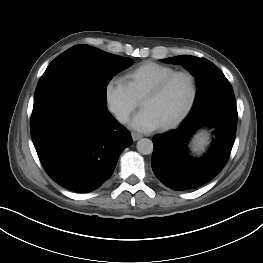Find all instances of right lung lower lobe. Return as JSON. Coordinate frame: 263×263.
Returning <instances> with one entry per match:
<instances>
[{"instance_id": "98d812e1", "label": "right lung lower lobe", "mask_w": 263, "mask_h": 263, "mask_svg": "<svg viewBox=\"0 0 263 263\" xmlns=\"http://www.w3.org/2000/svg\"><path fill=\"white\" fill-rule=\"evenodd\" d=\"M31 137L48 175L62 187L86 193L113 174L130 132L107 108L63 94L34 104Z\"/></svg>"}]
</instances>
